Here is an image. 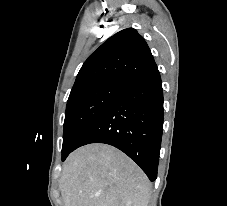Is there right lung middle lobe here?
<instances>
[{"instance_id":"1","label":"right lung middle lobe","mask_w":227,"mask_h":206,"mask_svg":"<svg viewBox=\"0 0 227 206\" xmlns=\"http://www.w3.org/2000/svg\"><path fill=\"white\" fill-rule=\"evenodd\" d=\"M126 84L123 80L109 79L70 93L65 112L62 161L74 150L93 121L124 92Z\"/></svg>"}]
</instances>
